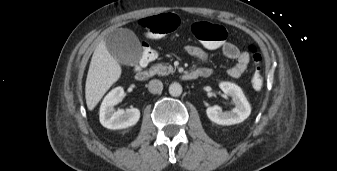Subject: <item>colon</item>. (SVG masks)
I'll return each instance as SVG.
<instances>
[{
  "label": "colon",
  "instance_id": "5ec220e1",
  "mask_svg": "<svg viewBox=\"0 0 337 171\" xmlns=\"http://www.w3.org/2000/svg\"><path fill=\"white\" fill-rule=\"evenodd\" d=\"M139 25L143 28L145 34L150 38H159L167 33L175 31L180 20L173 14H161L157 16L145 17L140 20ZM192 34L201 41L202 45L211 50L220 48L227 38L226 29L217 24L204 21H198L192 26ZM141 51L143 52L141 62L149 63L157 56V49L151 40H144L141 43ZM249 51L254 63V71L251 79L252 86L260 89L263 86L264 78L262 72V55L258 48L251 44Z\"/></svg>",
  "mask_w": 337,
  "mask_h": 171
}]
</instances>
